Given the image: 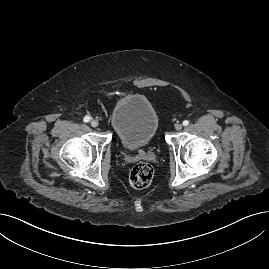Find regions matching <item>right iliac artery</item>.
I'll use <instances>...</instances> for the list:
<instances>
[{
  "mask_svg": "<svg viewBox=\"0 0 269 269\" xmlns=\"http://www.w3.org/2000/svg\"><path fill=\"white\" fill-rule=\"evenodd\" d=\"M90 120H91V117L90 116H85L84 119H83V121L85 123L89 122Z\"/></svg>",
  "mask_w": 269,
  "mask_h": 269,
  "instance_id": "right-iliac-artery-1",
  "label": "right iliac artery"
}]
</instances>
